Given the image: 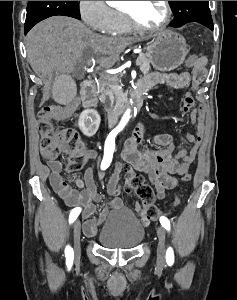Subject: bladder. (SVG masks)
Here are the masks:
<instances>
[{"label": "bladder", "mask_w": 237, "mask_h": 300, "mask_svg": "<svg viewBox=\"0 0 237 300\" xmlns=\"http://www.w3.org/2000/svg\"><path fill=\"white\" fill-rule=\"evenodd\" d=\"M145 237V226L129 210L111 215L98 231L96 238L105 248L132 249Z\"/></svg>", "instance_id": "obj_1"}]
</instances>
